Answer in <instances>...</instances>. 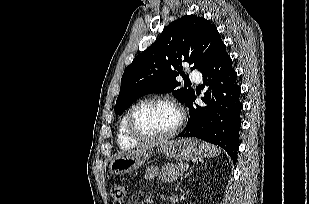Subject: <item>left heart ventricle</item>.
Wrapping results in <instances>:
<instances>
[{
    "instance_id": "b2bd125f",
    "label": "left heart ventricle",
    "mask_w": 309,
    "mask_h": 204,
    "mask_svg": "<svg viewBox=\"0 0 309 204\" xmlns=\"http://www.w3.org/2000/svg\"><path fill=\"white\" fill-rule=\"evenodd\" d=\"M178 119L176 111L165 104H150L136 116V126L150 135H160L171 130Z\"/></svg>"
}]
</instances>
